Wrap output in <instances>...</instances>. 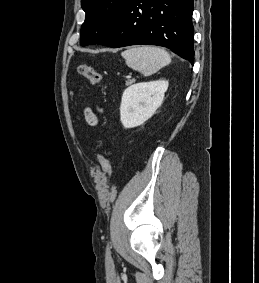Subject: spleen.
I'll return each mask as SVG.
<instances>
[{
	"label": "spleen",
	"mask_w": 259,
	"mask_h": 283,
	"mask_svg": "<svg viewBox=\"0 0 259 283\" xmlns=\"http://www.w3.org/2000/svg\"><path fill=\"white\" fill-rule=\"evenodd\" d=\"M121 55L128 67L144 76L155 74L171 62V57L165 49L154 46H134L123 51Z\"/></svg>",
	"instance_id": "obj_1"
}]
</instances>
